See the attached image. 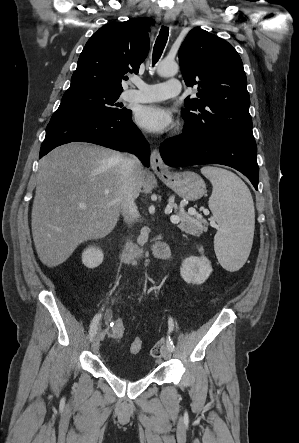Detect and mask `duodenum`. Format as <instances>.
I'll return each instance as SVG.
<instances>
[{"mask_svg": "<svg viewBox=\"0 0 299 443\" xmlns=\"http://www.w3.org/2000/svg\"><path fill=\"white\" fill-rule=\"evenodd\" d=\"M152 251L155 256L162 257L169 249L161 237H157L152 244ZM142 253L140 246L133 242H125L120 248V256L124 261H129L135 257H139Z\"/></svg>", "mask_w": 299, "mask_h": 443, "instance_id": "1", "label": "duodenum"}]
</instances>
